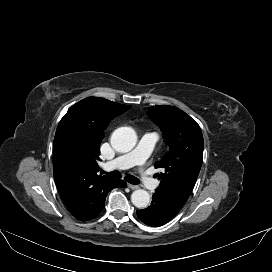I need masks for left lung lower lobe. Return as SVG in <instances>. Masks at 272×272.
Segmentation results:
<instances>
[{
  "mask_svg": "<svg viewBox=\"0 0 272 272\" xmlns=\"http://www.w3.org/2000/svg\"><path fill=\"white\" fill-rule=\"evenodd\" d=\"M179 209L154 194L151 205L146 209L137 210V216L146 225L157 227L173 219L179 212Z\"/></svg>",
  "mask_w": 272,
  "mask_h": 272,
  "instance_id": "left-lung-lower-lobe-1",
  "label": "left lung lower lobe"
}]
</instances>
